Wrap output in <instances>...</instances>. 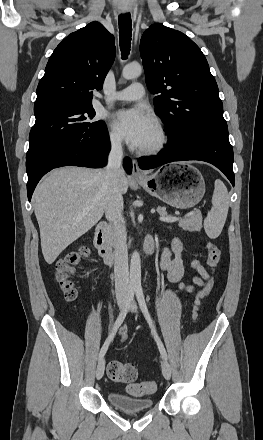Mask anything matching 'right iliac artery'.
I'll return each mask as SVG.
<instances>
[{
  "label": "right iliac artery",
  "instance_id": "obj_1",
  "mask_svg": "<svg viewBox=\"0 0 263 440\" xmlns=\"http://www.w3.org/2000/svg\"><path fill=\"white\" fill-rule=\"evenodd\" d=\"M134 293H135V289L130 288L128 291L126 304H125L124 308L122 309V311L120 312L119 316L117 317L111 333L109 334L108 338L106 339V341L104 342V344L100 350L99 360L102 359L104 357V355L106 354L110 342L114 339V336H115L118 328L121 326L124 319L126 318V315L128 314V311L130 309V306H131L133 298H134Z\"/></svg>",
  "mask_w": 263,
  "mask_h": 440
}]
</instances>
